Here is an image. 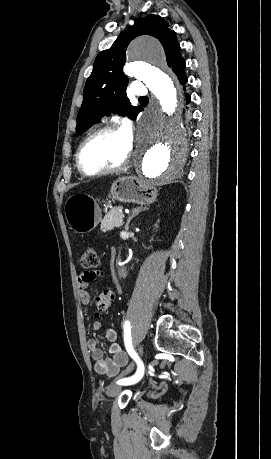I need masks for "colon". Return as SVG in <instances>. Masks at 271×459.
<instances>
[{
  "label": "colon",
  "mask_w": 271,
  "mask_h": 459,
  "mask_svg": "<svg viewBox=\"0 0 271 459\" xmlns=\"http://www.w3.org/2000/svg\"><path fill=\"white\" fill-rule=\"evenodd\" d=\"M80 266L86 271L98 268L100 259L97 251L92 247H87L79 259ZM113 294L111 291L105 290L99 293L95 298L96 315H101L106 312L112 303Z\"/></svg>",
  "instance_id": "colon-1"
}]
</instances>
